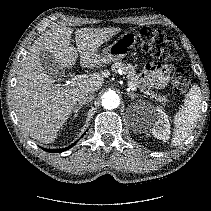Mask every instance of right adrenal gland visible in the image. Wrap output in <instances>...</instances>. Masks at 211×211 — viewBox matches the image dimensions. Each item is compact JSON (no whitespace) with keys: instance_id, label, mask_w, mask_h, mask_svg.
Here are the masks:
<instances>
[{"instance_id":"obj_1","label":"right adrenal gland","mask_w":211,"mask_h":211,"mask_svg":"<svg viewBox=\"0 0 211 211\" xmlns=\"http://www.w3.org/2000/svg\"><path fill=\"white\" fill-rule=\"evenodd\" d=\"M83 104H79L74 108V115L73 117L76 118L78 116L79 110L82 108Z\"/></svg>"}]
</instances>
